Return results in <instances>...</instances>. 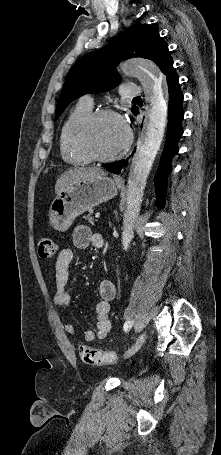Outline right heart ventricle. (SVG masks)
<instances>
[{"label":"right heart ventricle","mask_w":221,"mask_h":455,"mask_svg":"<svg viewBox=\"0 0 221 455\" xmlns=\"http://www.w3.org/2000/svg\"><path fill=\"white\" fill-rule=\"evenodd\" d=\"M92 112V106L79 101L65 119L60 132V152L64 161L71 165H84L90 159L78 144V128L81 122Z\"/></svg>","instance_id":"obj_1"}]
</instances>
